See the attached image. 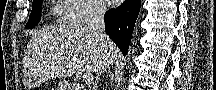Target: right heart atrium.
I'll return each mask as SVG.
<instances>
[{
  "label": "right heart atrium",
  "instance_id": "d8ad5b80",
  "mask_svg": "<svg viewBox=\"0 0 216 90\" xmlns=\"http://www.w3.org/2000/svg\"><path fill=\"white\" fill-rule=\"evenodd\" d=\"M63 3H70L71 6H78L73 20H93L102 12V8L97 6L95 0H62Z\"/></svg>",
  "mask_w": 216,
  "mask_h": 90
}]
</instances>
